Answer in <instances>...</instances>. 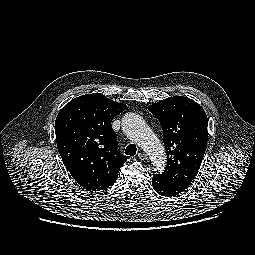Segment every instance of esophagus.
Segmentation results:
<instances>
[{"mask_svg":"<svg viewBox=\"0 0 255 255\" xmlns=\"http://www.w3.org/2000/svg\"><path fill=\"white\" fill-rule=\"evenodd\" d=\"M138 158H139L140 160H146L148 157H147V154H146L145 152H140V153L138 154Z\"/></svg>","mask_w":255,"mask_h":255,"instance_id":"esophagus-1","label":"esophagus"}]
</instances>
